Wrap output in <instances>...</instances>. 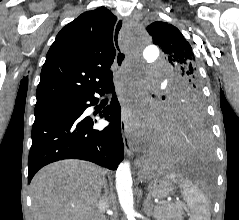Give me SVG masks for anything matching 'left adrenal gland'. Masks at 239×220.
Segmentation results:
<instances>
[{"label": "left adrenal gland", "mask_w": 239, "mask_h": 220, "mask_svg": "<svg viewBox=\"0 0 239 220\" xmlns=\"http://www.w3.org/2000/svg\"><path fill=\"white\" fill-rule=\"evenodd\" d=\"M143 212L148 216L153 215V204L151 202V197L150 195L147 196V198L144 200L143 203Z\"/></svg>", "instance_id": "a2214340"}]
</instances>
